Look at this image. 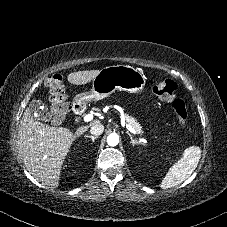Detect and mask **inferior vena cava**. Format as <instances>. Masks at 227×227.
Listing matches in <instances>:
<instances>
[{"label": "inferior vena cava", "mask_w": 227, "mask_h": 227, "mask_svg": "<svg viewBox=\"0 0 227 227\" xmlns=\"http://www.w3.org/2000/svg\"><path fill=\"white\" fill-rule=\"evenodd\" d=\"M104 131V126L100 123L93 124L90 129V133L98 136L101 135Z\"/></svg>", "instance_id": "obj_1"}]
</instances>
